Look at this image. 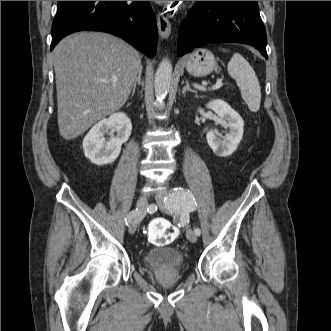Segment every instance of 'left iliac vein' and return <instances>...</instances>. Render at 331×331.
<instances>
[{
	"instance_id": "left-iliac-vein-1",
	"label": "left iliac vein",
	"mask_w": 331,
	"mask_h": 331,
	"mask_svg": "<svg viewBox=\"0 0 331 331\" xmlns=\"http://www.w3.org/2000/svg\"><path fill=\"white\" fill-rule=\"evenodd\" d=\"M186 237L192 243H195L197 241V235L191 228L187 229Z\"/></svg>"
}]
</instances>
